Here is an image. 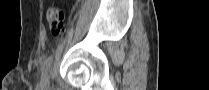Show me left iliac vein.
I'll list each match as a JSON object with an SVG mask.
<instances>
[{
	"label": "left iliac vein",
	"mask_w": 209,
	"mask_h": 90,
	"mask_svg": "<svg viewBox=\"0 0 209 90\" xmlns=\"http://www.w3.org/2000/svg\"><path fill=\"white\" fill-rule=\"evenodd\" d=\"M42 83H43V84H41V86H43V87L49 86V78H48L47 76L44 77V78L42 79Z\"/></svg>",
	"instance_id": "1"
}]
</instances>
